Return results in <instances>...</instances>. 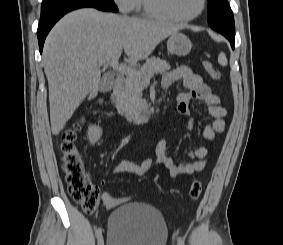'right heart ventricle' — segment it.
Here are the masks:
<instances>
[{
  "label": "right heart ventricle",
  "mask_w": 283,
  "mask_h": 245,
  "mask_svg": "<svg viewBox=\"0 0 283 245\" xmlns=\"http://www.w3.org/2000/svg\"><path fill=\"white\" fill-rule=\"evenodd\" d=\"M133 10L139 12V13H142V14H145V15H148V16H151V17H154L152 15H150L146 9H145V5H144V1L143 0H135L134 1V8Z\"/></svg>",
  "instance_id": "e07e8e85"
}]
</instances>
